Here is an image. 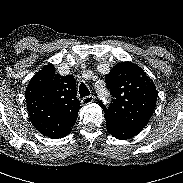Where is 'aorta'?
Returning a JSON list of instances; mask_svg holds the SVG:
<instances>
[{
	"label": "aorta",
	"instance_id": "762f6f07",
	"mask_svg": "<svg viewBox=\"0 0 183 183\" xmlns=\"http://www.w3.org/2000/svg\"><path fill=\"white\" fill-rule=\"evenodd\" d=\"M98 95L100 98L106 99V97L109 95V93L106 89H101L98 91Z\"/></svg>",
	"mask_w": 183,
	"mask_h": 183
}]
</instances>
